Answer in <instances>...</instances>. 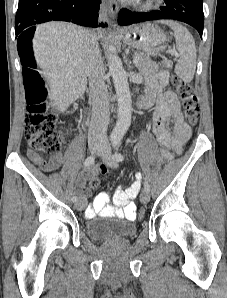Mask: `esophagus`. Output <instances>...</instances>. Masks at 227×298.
Returning <instances> with one entry per match:
<instances>
[{"instance_id": "34e87169", "label": "esophagus", "mask_w": 227, "mask_h": 298, "mask_svg": "<svg viewBox=\"0 0 227 298\" xmlns=\"http://www.w3.org/2000/svg\"><path fill=\"white\" fill-rule=\"evenodd\" d=\"M108 8H109V15L111 18H115L116 14L118 13L119 10V6L117 4V2L115 0H108ZM105 21V17L102 15L100 16L99 22H104ZM114 28H117L116 24H113Z\"/></svg>"}]
</instances>
